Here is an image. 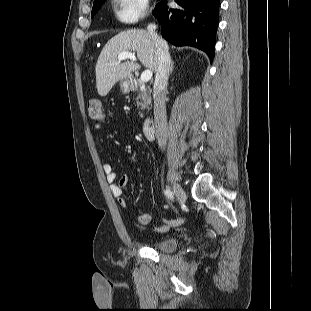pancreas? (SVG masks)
<instances>
[{
	"label": "pancreas",
	"mask_w": 311,
	"mask_h": 311,
	"mask_svg": "<svg viewBox=\"0 0 311 311\" xmlns=\"http://www.w3.org/2000/svg\"><path fill=\"white\" fill-rule=\"evenodd\" d=\"M135 90L137 91L136 102L140 109H150L151 105V95L150 90L144 86L141 81H138L135 85ZM140 117L143 118V114L140 113Z\"/></svg>",
	"instance_id": "pancreas-1"
}]
</instances>
